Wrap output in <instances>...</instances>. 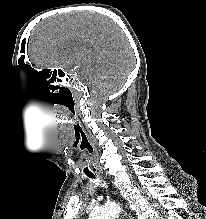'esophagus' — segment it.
I'll use <instances>...</instances> for the list:
<instances>
[{"label":"esophagus","mask_w":206,"mask_h":219,"mask_svg":"<svg viewBox=\"0 0 206 219\" xmlns=\"http://www.w3.org/2000/svg\"><path fill=\"white\" fill-rule=\"evenodd\" d=\"M124 219H133V217L127 211H124Z\"/></svg>","instance_id":"34e87169"}]
</instances>
